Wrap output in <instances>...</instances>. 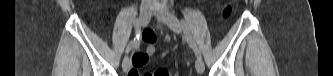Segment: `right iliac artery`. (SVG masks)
Segmentation results:
<instances>
[{"mask_svg": "<svg viewBox=\"0 0 333 76\" xmlns=\"http://www.w3.org/2000/svg\"><path fill=\"white\" fill-rule=\"evenodd\" d=\"M135 30H136V36L135 38L128 44L126 53L131 51L133 48H137L139 46L140 41V35H141V26L139 24V20L137 19L135 22Z\"/></svg>", "mask_w": 333, "mask_h": 76, "instance_id": "right-iliac-artery-1", "label": "right iliac artery"}]
</instances>
